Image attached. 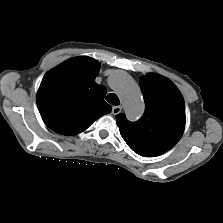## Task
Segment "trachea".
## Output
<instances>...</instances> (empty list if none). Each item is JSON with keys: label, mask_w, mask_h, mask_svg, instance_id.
I'll list each match as a JSON object with an SVG mask.
<instances>
[{"label": "trachea", "mask_w": 223, "mask_h": 223, "mask_svg": "<svg viewBox=\"0 0 223 223\" xmlns=\"http://www.w3.org/2000/svg\"><path fill=\"white\" fill-rule=\"evenodd\" d=\"M106 100L111 105H119L120 104L118 96L114 93L108 94L107 97H106Z\"/></svg>", "instance_id": "obj_1"}]
</instances>
